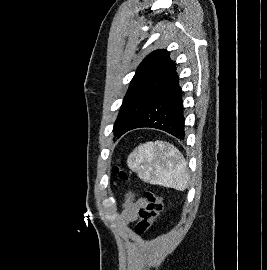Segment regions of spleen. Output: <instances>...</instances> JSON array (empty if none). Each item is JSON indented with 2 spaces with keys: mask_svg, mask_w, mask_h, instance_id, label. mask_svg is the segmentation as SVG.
<instances>
[{
  "mask_svg": "<svg viewBox=\"0 0 267 270\" xmlns=\"http://www.w3.org/2000/svg\"><path fill=\"white\" fill-rule=\"evenodd\" d=\"M128 167L144 182L183 191L189 175L181 152L166 141L139 145L127 159Z\"/></svg>",
  "mask_w": 267,
  "mask_h": 270,
  "instance_id": "spleen-1",
  "label": "spleen"
}]
</instances>
